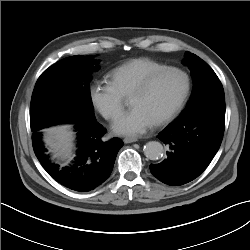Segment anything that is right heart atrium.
Masks as SVG:
<instances>
[{
  "label": "right heart atrium",
  "mask_w": 250,
  "mask_h": 250,
  "mask_svg": "<svg viewBox=\"0 0 250 250\" xmlns=\"http://www.w3.org/2000/svg\"><path fill=\"white\" fill-rule=\"evenodd\" d=\"M89 99L93 108L107 120H116L122 113L124 96L110 80L94 81L89 87Z\"/></svg>",
  "instance_id": "obj_1"
}]
</instances>
